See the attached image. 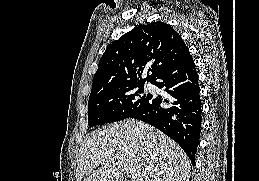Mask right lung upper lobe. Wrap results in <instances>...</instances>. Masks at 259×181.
<instances>
[{"label": "right lung upper lobe", "instance_id": "1", "mask_svg": "<svg viewBox=\"0 0 259 181\" xmlns=\"http://www.w3.org/2000/svg\"><path fill=\"white\" fill-rule=\"evenodd\" d=\"M189 50L181 36L165 22L140 25L110 44L94 74L90 97L111 89L153 82ZM147 77L141 78L148 68Z\"/></svg>", "mask_w": 259, "mask_h": 181}]
</instances>
